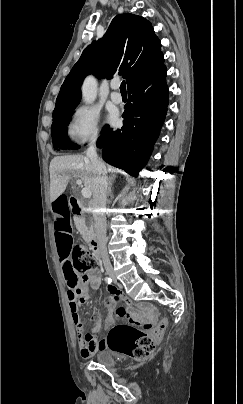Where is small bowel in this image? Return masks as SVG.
I'll return each instance as SVG.
<instances>
[{
	"label": "small bowel",
	"instance_id": "1",
	"mask_svg": "<svg viewBox=\"0 0 243 404\" xmlns=\"http://www.w3.org/2000/svg\"><path fill=\"white\" fill-rule=\"evenodd\" d=\"M52 217L54 237L57 246L58 255L61 262L62 272L67 284V298L71 313L72 321L75 325L80 354L83 358H89L99 350L106 348L104 339H98L91 333H83V322L78 314V307L88 299V288H97L100 285L101 273L98 269L91 271L85 278L79 279L73 272L71 261L72 249V229L68 218V198L61 194L56 196L52 201ZM108 308L115 312L118 317L132 316L123 306H117L118 301L122 298L121 292L114 288L108 287ZM111 321H107L110 325Z\"/></svg>",
	"mask_w": 243,
	"mask_h": 404
}]
</instances>
